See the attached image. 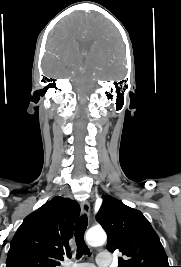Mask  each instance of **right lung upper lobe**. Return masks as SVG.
<instances>
[{
	"label": "right lung upper lobe",
	"mask_w": 181,
	"mask_h": 267,
	"mask_svg": "<svg viewBox=\"0 0 181 267\" xmlns=\"http://www.w3.org/2000/svg\"><path fill=\"white\" fill-rule=\"evenodd\" d=\"M80 206L56 196L28 215L11 241L6 267H55L69 253Z\"/></svg>",
	"instance_id": "cb5924a9"
}]
</instances>
